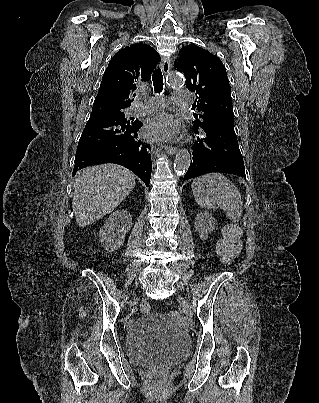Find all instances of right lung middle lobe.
Returning a JSON list of instances; mask_svg holds the SVG:
<instances>
[{"mask_svg": "<svg viewBox=\"0 0 319 403\" xmlns=\"http://www.w3.org/2000/svg\"><path fill=\"white\" fill-rule=\"evenodd\" d=\"M122 109L124 108L106 105H93L92 113L89 119L111 118L127 120L124 113L121 111Z\"/></svg>", "mask_w": 319, "mask_h": 403, "instance_id": "1", "label": "right lung middle lobe"}]
</instances>
